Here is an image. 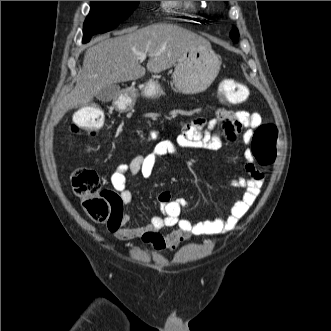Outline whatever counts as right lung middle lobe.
Segmentation results:
<instances>
[{
    "label": "right lung middle lobe",
    "instance_id": "dd1d6c3e",
    "mask_svg": "<svg viewBox=\"0 0 331 331\" xmlns=\"http://www.w3.org/2000/svg\"><path fill=\"white\" fill-rule=\"evenodd\" d=\"M138 4L139 1H92L84 23L83 42H88L94 34L114 29L131 15Z\"/></svg>",
    "mask_w": 331,
    "mask_h": 331
}]
</instances>
